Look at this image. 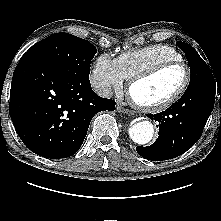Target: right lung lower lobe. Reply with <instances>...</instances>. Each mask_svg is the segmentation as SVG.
I'll return each mask as SVG.
<instances>
[{
  "label": "right lung lower lobe",
  "instance_id": "98d812e1",
  "mask_svg": "<svg viewBox=\"0 0 221 221\" xmlns=\"http://www.w3.org/2000/svg\"><path fill=\"white\" fill-rule=\"evenodd\" d=\"M115 101L99 97L88 77L33 54L15 68L9 114L23 143L46 158H66L81 147L94 115L114 111Z\"/></svg>",
  "mask_w": 221,
  "mask_h": 221
}]
</instances>
